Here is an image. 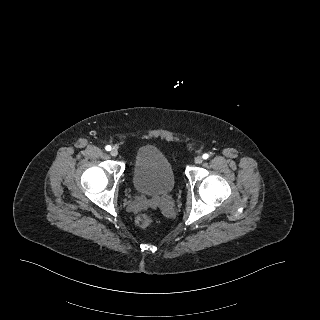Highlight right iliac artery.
Segmentation results:
<instances>
[{
    "mask_svg": "<svg viewBox=\"0 0 320 320\" xmlns=\"http://www.w3.org/2000/svg\"><path fill=\"white\" fill-rule=\"evenodd\" d=\"M105 149H106L107 151H110V150H111V146H110V145H107V146L105 147Z\"/></svg>",
    "mask_w": 320,
    "mask_h": 320,
    "instance_id": "1",
    "label": "right iliac artery"
}]
</instances>
